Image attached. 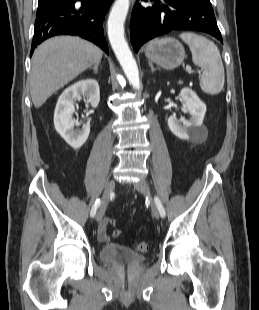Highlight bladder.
Wrapping results in <instances>:
<instances>
[{"label": "bladder", "instance_id": "31cf9c89", "mask_svg": "<svg viewBox=\"0 0 259 310\" xmlns=\"http://www.w3.org/2000/svg\"><path fill=\"white\" fill-rule=\"evenodd\" d=\"M99 258L104 262L121 267H130L145 261L143 255L116 244H105L100 249Z\"/></svg>", "mask_w": 259, "mask_h": 310}]
</instances>
